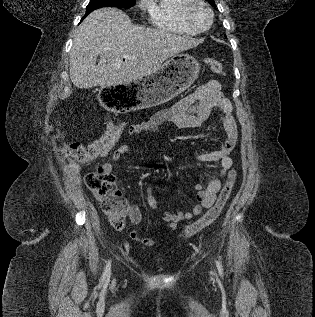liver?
Listing matches in <instances>:
<instances>
[{"instance_id":"6515ba94","label":"liver","mask_w":315,"mask_h":317,"mask_svg":"<svg viewBox=\"0 0 315 317\" xmlns=\"http://www.w3.org/2000/svg\"><path fill=\"white\" fill-rule=\"evenodd\" d=\"M198 44L189 36L134 25L119 9L101 8L77 30L70 52V79L81 89L130 83L155 73L165 60Z\"/></svg>"}]
</instances>
